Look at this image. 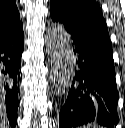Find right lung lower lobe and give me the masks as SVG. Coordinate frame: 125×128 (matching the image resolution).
<instances>
[{"instance_id":"98d812e1","label":"right lung lower lobe","mask_w":125,"mask_h":128,"mask_svg":"<svg viewBox=\"0 0 125 128\" xmlns=\"http://www.w3.org/2000/svg\"><path fill=\"white\" fill-rule=\"evenodd\" d=\"M23 25L0 36V89L5 96L9 123L15 128L19 106V68L24 49Z\"/></svg>"}]
</instances>
